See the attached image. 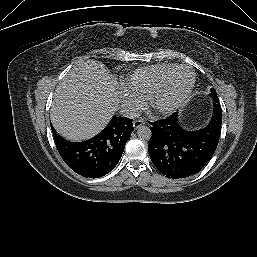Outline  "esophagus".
Instances as JSON below:
<instances>
[{"mask_svg":"<svg viewBox=\"0 0 257 257\" xmlns=\"http://www.w3.org/2000/svg\"><path fill=\"white\" fill-rule=\"evenodd\" d=\"M145 121L142 118H139L133 122V126L135 129L139 128L140 126L144 125Z\"/></svg>","mask_w":257,"mask_h":257,"instance_id":"1","label":"esophagus"}]
</instances>
